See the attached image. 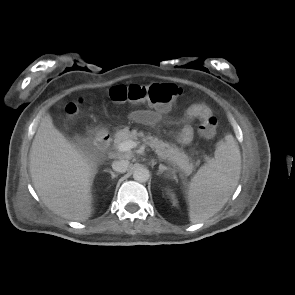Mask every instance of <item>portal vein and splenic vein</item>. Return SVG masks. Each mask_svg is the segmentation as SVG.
Returning a JSON list of instances; mask_svg holds the SVG:
<instances>
[{
  "label": "portal vein and splenic vein",
  "mask_w": 295,
  "mask_h": 295,
  "mask_svg": "<svg viewBox=\"0 0 295 295\" xmlns=\"http://www.w3.org/2000/svg\"><path fill=\"white\" fill-rule=\"evenodd\" d=\"M138 146V143L134 140H126L122 143H120L118 146H117V150L119 152H128L130 151L131 149L133 148H136ZM142 148H144L145 146H141Z\"/></svg>",
  "instance_id": "obj_1"
}]
</instances>
